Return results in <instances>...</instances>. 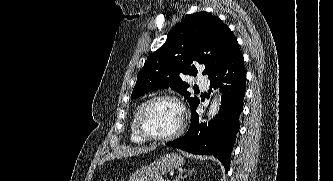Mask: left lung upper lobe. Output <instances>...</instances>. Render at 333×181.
<instances>
[{
  "mask_svg": "<svg viewBox=\"0 0 333 181\" xmlns=\"http://www.w3.org/2000/svg\"><path fill=\"white\" fill-rule=\"evenodd\" d=\"M238 47L237 39L222 21L207 12L189 15L170 33L167 41L146 60L137 76L131 99L151 90L171 87L182 94L191 109L200 101L190 98L183 75L195 76L201 65L208 77Z\"/></svg>",
  "mask_w": 333,
  "mask_h": 181,
  "instance_id": "1",
  "label": "left lung upper lobe"
}]
</instances>
